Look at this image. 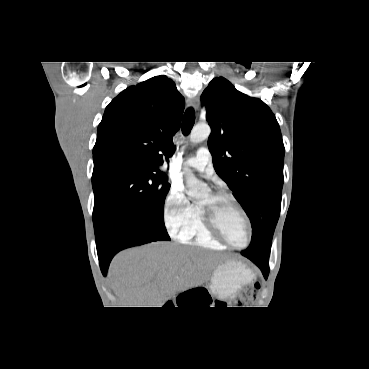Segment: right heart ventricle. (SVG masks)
Instances as JSON below:
<instances>
[{
	"instance_id": "e07e8e85",
	"label": "right heart ventricle",
	"mask_w": 369,
	"mask_h": 369,
	"mask_svg": "<svg viewBox=\"0 0 369 369\" xmlns=\"http://www.w3.org/2000/svg\"><path fill=\"white\" fill-rule=\"evenodd\" d=\"M179 238L182 241L191 242L195 245L211 248L224 249L225 245L216 240L206 229L199 206H195L194 216L185 233Z\"/></svg>"
}]
</instances>
